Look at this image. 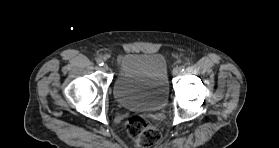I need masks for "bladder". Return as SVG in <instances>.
<instances>
[{
    "mask_svg": "<svg viewBox=\"0 0 279 148\" xmlns=\"http://www.w3.org/2000/svg\"><path fill=\"white\" fill-rule=\"evenodd\" d=\"M167 66L160 54L129 53L118 62L113 95L129 109L157 110L168 101Z\"/></svg>",
    "mask_w": 279,
    "mask_h": 148,
    "instance_id": "1",
    "label": "bladder"
}]
</instances>
